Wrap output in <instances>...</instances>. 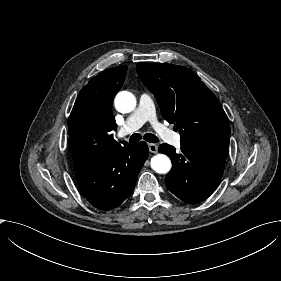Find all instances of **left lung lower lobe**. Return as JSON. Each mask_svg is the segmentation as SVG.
<instances>
[{"label": "left lung lower lobe", "instance_id": "0a47b994", "mask_svg": "<svg viewBox=\"0 0 281 281\" xmlns=\"http://www.w3.org/2000/svg\"><path fill=\"white\" fill-rule=\"evenodd\" d=\"M228 150L181 146L178 152L168 144L160 145L158 151L168 155L173 164L165 178L166 186L186 203L205 200L220 183Z\"/></svg>", "mask_w": 281, "mask_h": 281}]
</instances>
